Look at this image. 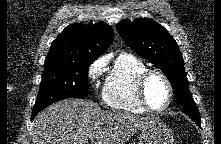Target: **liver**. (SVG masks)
I'll use <instances>...</instances> for the list:
<instances>
[{"mask_svg": "<svg viewBox=\"0 0 221 144\" xmlns=\"http://www.w3.org/2000/svg\"><path fill=\"white\" fill-rule=\"evenodd\" d=\"M129 112L104 111L86 99H66L41 111L32 122L33 144H125L155 121Z\"/></svg>", "mask_w": 221, "mask_h": 144, "instance_id": "obj_1", "label": "liver"}]
</instances>
